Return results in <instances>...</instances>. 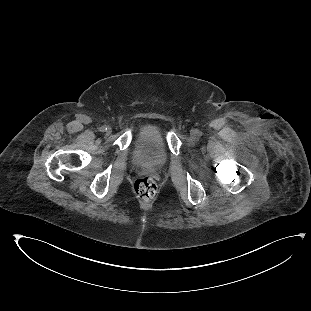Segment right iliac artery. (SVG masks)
I'll return each instance as SVG.
<instances>
[{
    "instance_id": "82829eb1",
    "label": "right iliac artery",
    "mask_w": 311,
    "mask_h": 311,
    "mask_svg": "<svg viewBox=\"0 0 311 311\" xmlns=\"http://www.w3.org/2000/svg\"><path fill=\"white\" fill-rule=\"evenodd\" d=\"M106 129H107V127H106V126H102V127H100V131H101V132L106 131Z\"/></svg>"
}]
</instances>
